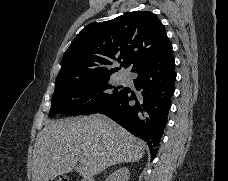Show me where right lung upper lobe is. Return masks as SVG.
<instances>
[{
	"label": "right lung upper lobe",
	"mask_w": 228,
	"mask_h": 181,
	"mask_svg": "<svg viewBox=\"0 0 228 181\" xmlns=\"http://www.w3.org/2000/svg\"><path fill=\"white\" fill-rule=\"evenodd\" d=\"M161 21L148 11H133L115 19L86 26L62 59L56 86L109 76L120 68L131 72L171 48Z\"/></svg>",
	"instance_id": "obj_1"
}]
</instances>
